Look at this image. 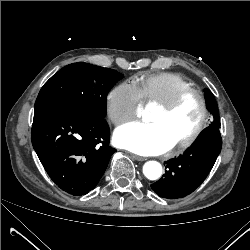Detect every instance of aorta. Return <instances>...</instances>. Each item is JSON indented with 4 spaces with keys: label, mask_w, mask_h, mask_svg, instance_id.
Listing matches in <instances>:
<instances>
[{
    "label": "aorta",
    "mask_w": 250,
    "mask_h": 250,
    "mask_svg": "<svg viewBox=\"0 0 250 250\" xmlns=\"http://www.w3.org/2000/svg\"><path fill=\"white\" fill-rule=\"evenodd\" d=\"M143 173L149 180H156L162 174V166L159 162L148 161L143 166Z\"/></svg>",
    "instance_id": "obj_1"
}]
</instances>
